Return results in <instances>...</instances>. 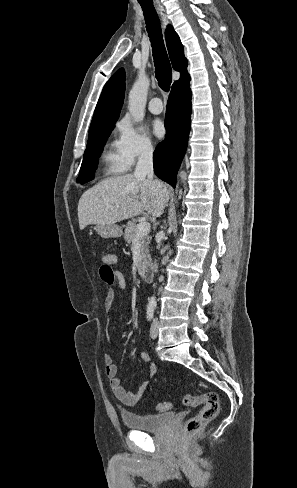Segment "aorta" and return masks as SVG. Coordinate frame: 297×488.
<instances>
[{"label":"aorta","instance_id":"aorta-1","mask_svg":"<svg viewBox=\"0 0 297 488\" xmlns=\"http://www.w3.org/2000/svg\"><path fill=\"white\" fill-rule=\"evenodd\" d=\"M149 85V78L144 73H139L129 93L128 108L136 122H140L144 118ZM149 305H156L154 296L149 299Z\"/></svg>","mask_w":297,"mask_h":488}]
</instances>
